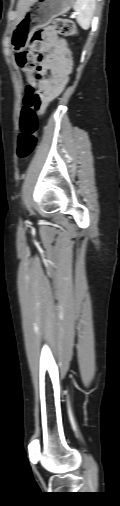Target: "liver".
Instances as JSON below:
<instances>
[{"mask_svg":"<svg viewBox=\"0 0 120 506\" xmlns=\"http://www.w3.org/2000/svg\"><path fill=\"white\" fill-rule=\"evenodd\" d=\"M35 0H19L17 4V20L16 23H18L23 15L25 14L28 7L34 2Z\"/></svg>","mask_w":120,"mask_h":506,"instance_id":"liver-1","label":"liver"}]
</instances>
